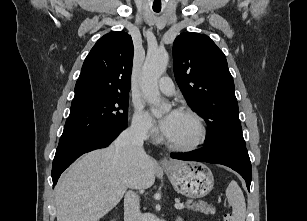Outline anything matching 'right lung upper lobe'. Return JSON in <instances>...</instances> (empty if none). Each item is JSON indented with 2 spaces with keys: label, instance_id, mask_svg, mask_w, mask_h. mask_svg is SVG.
Listing matches in <instances>:
<instances>
[{
  "label": "right lung upper lobe",
  "instance_id": "cb5924a9",
  "mask_svg": "<svg viewBox=\"0 0 307 221\" xmlns=\"http://www.w3.org/2000/svg\"><path fill=\"white\" fill-rule=\"evenodd\" d=\"M133 42L128 33L110 32L87 55L76 82L72 102L130 90Z\"/></svg>",
  "mask_w": 307,
  "mask_h": 221
}]
</instances>
